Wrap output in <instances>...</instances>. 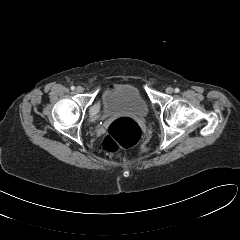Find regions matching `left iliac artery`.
Returning <instances> with one entry per match:
<instances>
[{
	"instance_id": "44dca946",
	"label": "left iliac artery",
	"mask_w": 240,
	"mask_h": 240,
	"mask_svg": "<svg viewBox=\"0 0 240 240\" xmlns=\"http://www.w3.org/2000/svg\"><path fill=\"white\" fill-rule=\"evenodd\" d=\"M174 91H175V93H179L180 90H179V88H175Z\"/></svg>"
}]
</instances>
